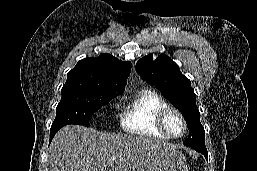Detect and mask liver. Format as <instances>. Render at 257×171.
Returning a JSON list of instances; mask_svg holds the SVG:
<instances>
[{"mask_svg": "<svg viewBox=\"0 0 257 171\" xmlns=\"http://www.w3.org/2000/svg\"><path fill=\"white\" fill-rule=\"evenodd\" d=\"M170 150L168 143L126 134H109L78 125L65 126L50 150V171H137L153 150Z\"/></svg>", "mask_w": 257, "mask_h": 171, "instance_id": "obj_1", "label": "liver"}]
</instances>
